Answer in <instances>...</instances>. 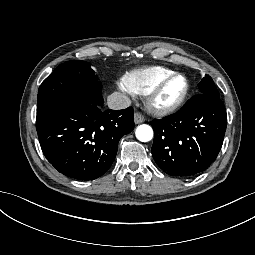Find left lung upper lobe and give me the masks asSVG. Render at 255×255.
I'll return each mask as SVG.
<instances>
[{"label": "left lung upper lobe", "instance_id": "left-lung-upper-lobe-1", "mask_svg": "<svg viewBox=\"0 0 255 255\" xmlns=\"http://www.w3.org/2000/svg\"><path fill=\"white\" fill-rule=\"evenodd\" d=\"M199 89L203 94H212L216 97H219V92L209 75H206L203 80L199 83Z\"/></svg>", "mask_w": 255, "mask_h": 255}]
</instances>
